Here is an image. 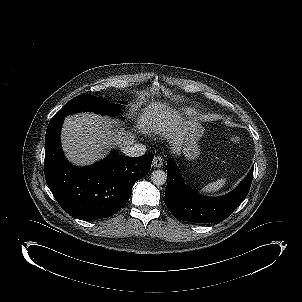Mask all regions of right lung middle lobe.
<instances>
[{
	"mask_svg": "<svg viewBox=\"0 0 302 302\" xmlns=\"http://www.w3.org/2000/svg\"><path fill=\"white\" fill-rule=\"evenodd\" d=\"M124 102H120L123 104ZM121 106L118 104H111L105 98L96 97L93 95H79L68 103H66L51 120L64 118L69 114L77 113L80 111H94L97 113H105L108 115H117Z\"/></svg>",
	"mask_w": 302,
	"mask_h": 302,
	"instance_id": "dd1d6c3e",
	"label": "right lung middle lobe"
}]
</instances>
